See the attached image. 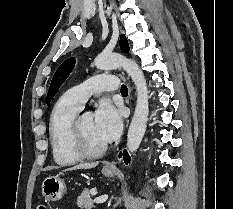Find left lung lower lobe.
I'll return each instance as SVG.
<instances>
[{
	"label": "left lung lower lobe",
	"mask_w": 233,
	"mask_h": 209,
	"mask_svg": "<svg viewBox=\"0 0 233 209\" xmlns=\"http://www.w3.org/2000/svg\"><path fill=\"white\" fill-rule=\"evenodd\" d=\"M123 155V158H124V162L126 163V164H128V162H129V155L127 154V151L125 150L124 152H123V154L122 153H120L119 154V157H121Z\"/></svg>",
	"instance_id": "1"
}]
</instances>
